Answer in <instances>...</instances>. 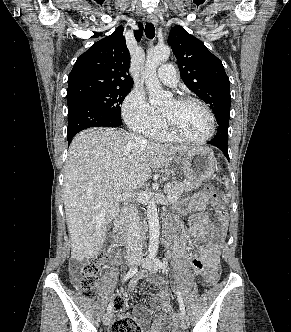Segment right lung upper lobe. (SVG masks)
<instances>
[{"label": "right lung upper lobe", "mask_w": 291, "mask_h": 332, "mask_svg": "<svg viewBox=\"0 0 291 332\" xmlns=\"http://www.w3.org/2000/svg\"><path fill=\"white\" fill-rule=\"evenodd\" d=\"M134 36L142 37L143 25ZM124 28L119 26L78 57L68 77L67 97L112 88H131L133 80L129 74L130 54L123 36Z\"/></svg>", "instance_id": "1"}]
</instances>
